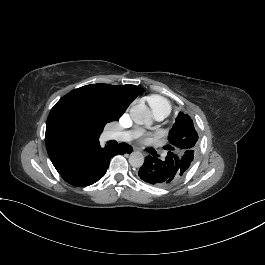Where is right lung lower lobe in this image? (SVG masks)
I'll return each instance as SVG.
<instances>
[{
  "label": "right lung lower lobe",
  "mask_w": 265,
  "mask_h": 265,
  "mask_svg": "<svg viewBox=\"0 0 265 265\" xmlns=\"http://www.w3.org/2000/svg\"><path fill=\"white\" fill-rule=\"evenodd\" d=\"M131 152L132 147L126 143H121L116 148H102L99 143L76 153L56 170L73 186H89L105 175L113 156Z\"/></svg>",
  "instance_id": "right-lung-lower-lobe-1"
}]
</instances>
